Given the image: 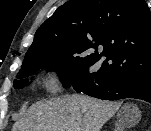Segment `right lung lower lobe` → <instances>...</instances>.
<instances>
[{
	"mask_svg": "<svg viewBox=\"0 0 151 131\" xmlns=\"http://www.w3.org/2000/svg\"><path fill=\"white\" fill-rule=\"evenodd\" d=\"M72 87L78 92L103 100L137 98L151 103V75L137 78L76 79Z\"/></svg>",
	"mask_w": 151,
	"mask_h": 131,
	"instance_id": "obj_1",
	"label": "right lung lower lobe"
}]
</instances>
